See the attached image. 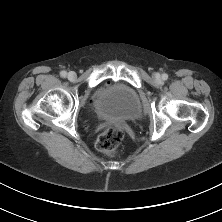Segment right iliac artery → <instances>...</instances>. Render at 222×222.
Segmentation results:
<instances>
[{"mask_svg": "<svg viewBox=\"0 0 222 222\" xmlns=\"http://www.w3.org/2000/svg\"><path fill=\"white\" fill-rule=\"evenodd\" d=\"M60 75H61V77L65 78L66 75H67V72H66V71H61V72H60Z\"/></svg>", "mask_w": 222, "mask_h": 222, "instance_id": "right-iliac-artery-1", "label": "right iliac artery"}]
</instances>
